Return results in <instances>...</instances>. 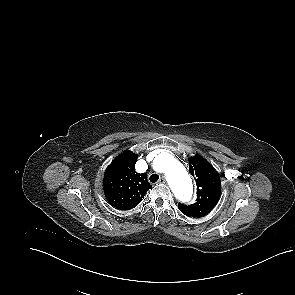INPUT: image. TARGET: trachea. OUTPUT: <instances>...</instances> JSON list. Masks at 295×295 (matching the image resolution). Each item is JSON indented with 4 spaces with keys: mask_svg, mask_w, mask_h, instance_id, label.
Instances as JSON below:
<instances>
[{
    "mask_svg": "<svg viewBox=\"0 0 295 295\" xmlns=\"http://www.w3.org/2000/svg\"><path fill=\"white\" fill-rule=\"evenodd\" d=\"M149 179H150V182L155 183L158 181L159 176L157 174H152Z\"/></svg>",
    "mask_w": 295,
    "mask_h": 295,
    "instance_id": "obj_1",
    "label": "trachea"
}]
</instances>
